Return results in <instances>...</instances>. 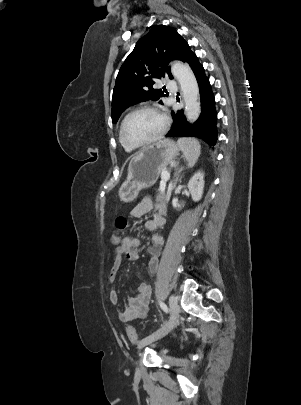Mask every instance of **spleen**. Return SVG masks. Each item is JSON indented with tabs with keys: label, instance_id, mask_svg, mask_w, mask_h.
<instances>
[{
	"label": "spleen",
	"instance_id": "1",
	"mask_svg": "<svg viewBox=\"0 0 301 405\" xmlns=\"http://www.w3.org/2000/svg\"><path fill=\"white\" fill-rule=\"evenodd\" d=\"M177 144L188 161V167H193L201 152L199 141L194 138H180L178 139Z\"/></svg>",
	"mask_w": 301,
	"mask_h": 405
}]
</instances>
